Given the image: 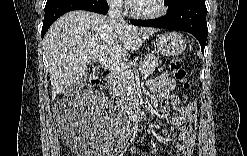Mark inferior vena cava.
<instances>
[{
	"label": "inferior vena cava",
	"mask_w": 247,
	"mask_h": 156,
	"mask_svg": "<svg viewBox=\"0 0 247 156\" xmlns=\"http://www.w3.org/2000/svg\"><path fill=\"white\" fill-rule=\"evenodd\" d=\"M108 16L110 19L116 22L125 23L123 16H122V2L121 1H113L110 3Z\"/></svg>",
	"instance_id": "602c4592"
}]
</instances>
